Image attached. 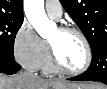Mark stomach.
Wrapping results in <instances>:
<instances>
[{
  "instance_id": "obj_1",
  "label": "stomach",
  "mask_w": 107,
  "mask_h": 89,
  "mask_svg": "<svg viewBox=\"0 0 107 89\" xmlns=\"http://www.w3.org/2000/svg\"><path fill=\"white\" fill-rule=\"evenodd\" d=\"M83 89V87L79 86L78 88H74V87H71V86H68V85H63L62 87H59V88H53V89Z\"/></svg>"
}]
</instances>
